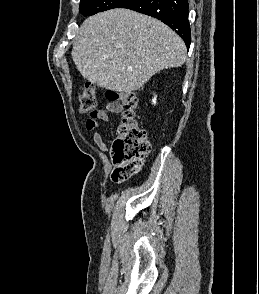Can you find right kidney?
<instances>
[{
    "instance_id": "obj_1",
    "label": "right kidney",
    "mask_w": 259,
    "mask_h": 294,
    "mask_svg": "<svg viewBox=\"0 0 259 294\" xmlns=\"http://www.w3.org/2000/svg\"><path fill=\"white\" fill-rule=\"evenodd\" d=\"M153 103H156V99H153Z\"/></svg>"
}]
</instances>
